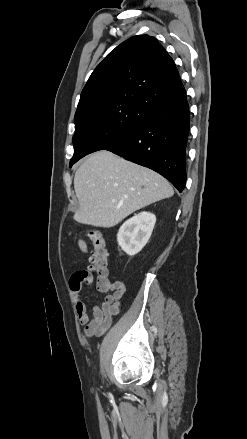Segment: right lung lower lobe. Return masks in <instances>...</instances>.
I'll return each mask as SVG.
<instances>
[{"label": "right lung lower lobe", "mask_w": 247, "mask_h": 439, "mask_svg": "<svg viewBox=\"0 0 247 439\" xmlns=\"http://www.w3.org/2000/svg\"><path fill=\"white\" fill-rule=\"evenodd\" d=\"M189 117L184 92L153 106L132 132L106 150L158 172L182 192Z\"/></svg>", "instance_id": "98d812e1"}]
</instances>
